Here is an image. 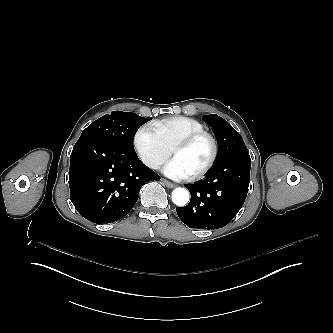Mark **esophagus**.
I'll list each match as a JSON object with an SVG mask.
<instances>
[{
    "instance_id": "34e87169",
    "label": "esophagus",
    "mask_w": 333,
    "mask_h": 333,
    "mask_svg": "<svg viewBox=\"0 0 333 333\" xmlns=\"http://www.w3.org/2000/svg\"><path fill=\"white\" fill-rule=\"evenodd\" d=\"M161 180L168 188H174L177 186L175 183L170 182L169 180H167L165 178H162Z\"/></svg>"
}]
</instances>
